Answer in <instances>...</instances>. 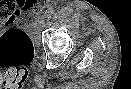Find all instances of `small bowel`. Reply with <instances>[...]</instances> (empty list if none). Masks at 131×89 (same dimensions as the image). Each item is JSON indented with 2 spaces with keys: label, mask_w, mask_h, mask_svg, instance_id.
Masks as SVG:
<instances>
[{
  "label": "small bowel",
  "mask_w": 131,
  "mask_h": 89,
  "mask_svg": "<svg viewBox=\"0 0 131 89\" xmlns=\"http://www.w3.org/2000/svg\"><path fill=\"white\" fill-rule=\"evenodd\" d=\"M21 7H24V5H20ZM9 21H11V20H4V21H1V23H0V28H1V24L4 22V23H8Z\"/></svg>",
  "instance_id": "1"
}]
</instances>
